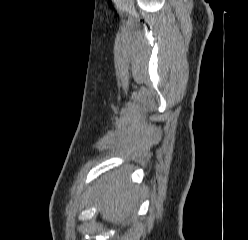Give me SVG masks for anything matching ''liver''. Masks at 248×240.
Segmentation results:
<instances>
[{
	"instance_id": "liver-1",
	"label": "liver",
	"mask_w": 248,
	"mask_h": 240,
	"mask_svg": "<svg viewBox=\"0 0 248 240\" xmlns=\"http://www.w3.org/2000/svg\"><path fill=\"white\" fill-rule=\"evenodd\" d=\"M98 197L102 218L112 223H121L134 211L139 188L128 182L124 172L113 173L103 181Z\"/></svg>"
}]
</instances>
